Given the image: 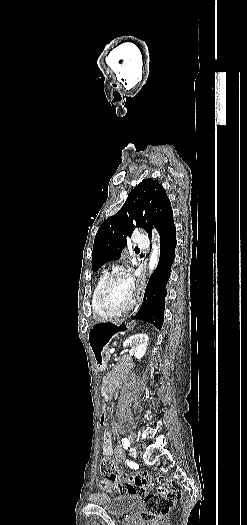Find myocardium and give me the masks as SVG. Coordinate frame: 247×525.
I'll list each match as a JSON object with an SVG mask.
<instances>
[{
  "instance_id": "1",
  "label": "myocardium",
  "mask_w": 247,
  "mask_h": 525,
  "mask_svg": "<svg viewBox=\"0 0 247 525\" xmlns=\"http://www.w3.org/2000/svg\"><path fill=\"white\" fill-rule=\"evenodd\" d=\"M130 277L125 271H115L110 274H108L96 287L95 293L97 297L100 299L99 306L102 311L105 313H108L109 315L113 314H120L123 311H126L130 309L134 305V301L132 300V297L129 296L126 302L124 303H106L101 300V294L103 290L106 288V286L110 283V281L114 278H120V277Z\"/></svg>"
}]
</instances>
